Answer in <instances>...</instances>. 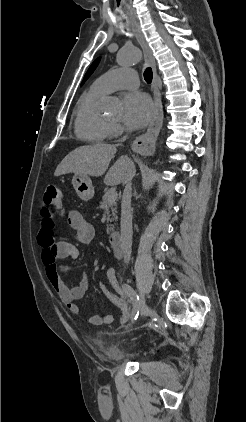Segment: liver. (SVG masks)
Returning a JSON list of instances; mask_svg holds the SVG:
<instances>
[{"mask_svg":"<svg viewBox=\"0 0 246 422\" xmlns=\"http://www.w3.org/2000/svg\"><path fill=\"white\" fill-rule=\"evenodd\" d=\"M115 153L114 145L104 143L79 147L62 160L54 175L74 173L81 176H102ZM130 173L135 174L134 163L127 156H121L106 173L104 183L109 186L119 185L124 183Z\"/></svg>","mask_w":246,"mask_h":422,"instance_id":"6515ba94","label":"liver"}]
</instances>
